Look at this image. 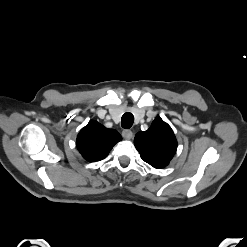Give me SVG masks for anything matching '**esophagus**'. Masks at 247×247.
I'll use <instances>...</instances> for the list:
<instances>
[{
	"label": "esophagus",
	"instance_id": "34e87169",
	"mask_svg": "<svg viewBox=\"0 0 247 247\" xmlns=\"http://www.w3.org/2000/svg\"><path fill=\"white\" fill-rule=\"evenodd\" d=\"M122 136L125 139H132L133 138V132L131 130L125 129L122 131Z\"/></svg>",
	"mask_w": 247,
	"mask_h": 247
}]
</instances>
